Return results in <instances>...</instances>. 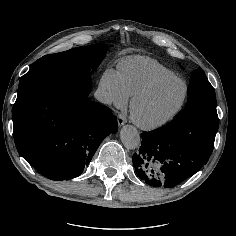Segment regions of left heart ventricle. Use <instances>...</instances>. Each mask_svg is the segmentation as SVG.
<instances>
[{
	"label": "left heart ventricle",
	"mask_w": 236,
	"mask_h": 236,
	"mask_svg": "<svg viewBox=\"0 0 236 236\" xmlns=\"http://www.w3.org/2000/svg\"><path fill=\"white\" fill-rule=\"evenodd\" d=\"M184 86L179 81L165 83L142 98L136 105L138 117L151 122L168 115L180 102Z\"/></svg>",
	"instance_id": "b2bd125f"
}]
</instances>
